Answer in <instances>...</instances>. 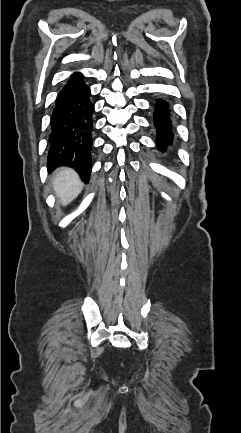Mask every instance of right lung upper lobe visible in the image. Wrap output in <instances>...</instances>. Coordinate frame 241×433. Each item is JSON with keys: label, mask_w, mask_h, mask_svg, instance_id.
I'll use <instances>...</instances> for the list:
<instances>
[{"label": "right lung upper lobe", "mask_w": 241, "mask_h": 433, "mask_svg": "<svg viewBox=\"0 0 241 433\" xmlns=\"http://www.w3.org/2000/svg\"><path fill=\"white\" fill-rule=\"evenodd\" d=\"M55 149H51V152H53Z\"/></svg>", "instance_id": "cb5924a9"}]
</instances>
